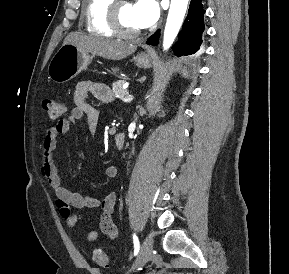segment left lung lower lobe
<instances>
[{
  "instance_id": "left-lung-lower-lobe-1",
  "label": "left lung lower lobe",
  "mask_w": 289,
  "mask_h": 274,
  "mask_svg": "<svg viewBox=\"0 0 289 274\" xmlns=\"http://www.w3.org/2000/svg\"><path fill=\"white\" fill-rule=\"evenodd\" d=\"M204 13L202 0H191L188 15L178 34V41L173 46L177 56L191 55L196 53L202 43V32L204 31ZM160 30L156 31L148 40L147 44L157 45Z\"/></svg>"
}]
</instances>
